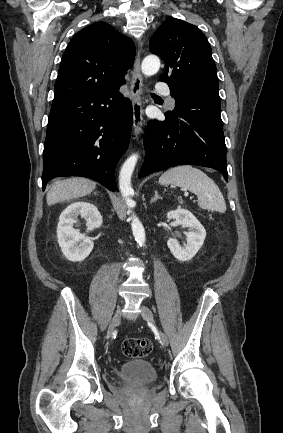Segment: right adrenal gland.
I'll use <instances>...</instances> for the list:
<instances>
[{
    "label": "right adrenal gland",
    "mask_w": 283,
    "mask_h": 433,
    "mask_svg": "<svg viewBox=\"0 0 283 433\" xmlns=\"http://www.w3.org/2000/svg\"><path fill=\"white\" fill-rule=\"evenodd\" d=\"M94 194H97V190H95Z\"/></svg>",
    "instance_id": "obj_1"
}]
</instances>
